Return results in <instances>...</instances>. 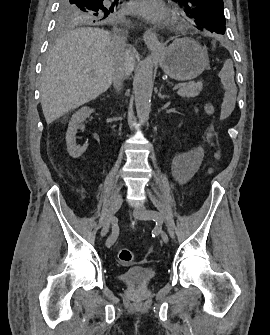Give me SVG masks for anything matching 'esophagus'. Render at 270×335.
Wrapping results in <instances>:
<instances>
[{
	"instance_id": "esophagus-1",
	"label": "esophagus",
	"mask_w": 270,
	"mask_h": 335,
	"mask_svg": "<svg viewBox=\"0 0 270 335\" xmlns=\"http://www.w3.org/2000/svg\"><path fill=\"white\" fill-rule=\"evenodd\" d=\"M143 40L146 43L148 48L157 49L160 47V42L156 33L152 28H147L143 34Z\"/></svg>"
}]
</instances>
